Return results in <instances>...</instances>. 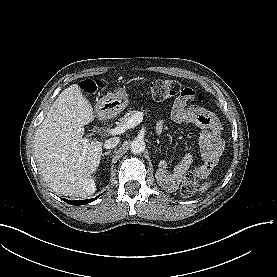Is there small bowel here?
Here are the masks:
<instances>
[{
    "label": "small bowel",
    "mask_w": 277,
    "mask_h": 277,
    "mask_svg": "<svg viewBox=\"0 0 277 277\" xmlns=\"http://www.w3.org/2000/svg\"><path fill=\"white\" fill-rule=\"evenodd\" d=\"M192 99V94L178 97L173 102L170 116L174 122H187L207 129L199 143L200 154L207 161L213 155H218L222 151V141L220 139L222 124L211 109L196 105L188 106L187 101ZM163 127L164 122L160 121L156 126V130L161 131ZM206 161L202 165H195L192 156H185L177 166L178 173L184 175L192 172L198 177H205L208 172Z\"/></svg>",
    "instance_id": "c3829d8e"
}]
</instances>
